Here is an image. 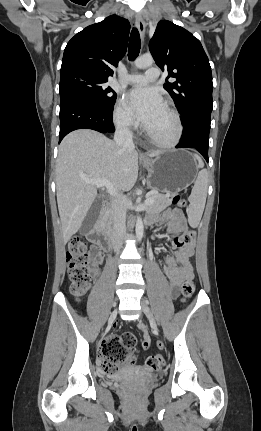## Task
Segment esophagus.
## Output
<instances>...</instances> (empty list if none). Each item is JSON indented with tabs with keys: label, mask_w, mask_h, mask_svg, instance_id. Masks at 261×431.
Listing matches in <instances>:
<instances>
[{
	"label": "esophagus",
	"mask_w": 261,
	"mask_h": 431,
	"mask_svg": "<svg viewBox=\"0 0 261 431\" xmlns=\"http://www.w3.org/2000/svg\"><path fill=\"white\" fill-rule=\"evenodd\" d=\"M135 22H136V26L139 30L141 39L144 40L145 32H146V26H145V22H144V19H143L141 14H136Z\"/></svg>",
	"instance_id": "1"
}]
</instances>
